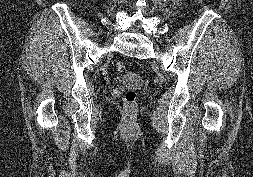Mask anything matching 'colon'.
Wrapping results in <instances>:
<instances>
[{
    "instance_id": "colon-1",
    "label": "colon",
    "mask_w": 253,
    "mask_h": 177,
    "mask_svg": "<svg viewBox=\"0 0 253 177\" xmlns=\"http://www.w3.org/2000/svg\"><path fill=\"white\" fill-rule=\"evenodd\" d=\"M117 71L124 72L126 70V65L123 62H117L115 65ZM136 91L134 89H127L124 92V106L126 110L133 111L136 107Z\"/></svg>"
}]
</instances>
